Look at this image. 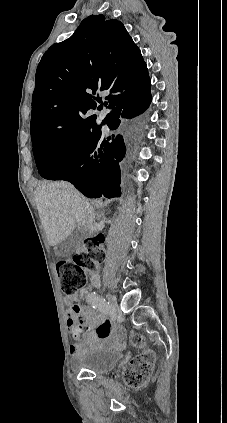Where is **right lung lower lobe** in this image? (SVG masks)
<instances>
[{
    "instance_id": "right-lung-lower-lobe-1",
    "label": "right lung lower lobe",
    "mask_w": 227,
    "mask_h": 423,
    "mask_svg": "<svg viewBox=\"0 0 227 423\" xmlns=\"http://www.w3.org/2000/svg\"><path fill=\"white\" fill-rule=\"evenodd\" d=\"M150 92L144 95L128 96L112 104L110 113L103 123L111 130L127 124L125 119H132L144 112L151 101ZM128 150L131 138H125ZM122 135L103 137L101 131L94 134V143L81 158L76 170L63 180L71 182L81 193L89 198L120 196V165L126 153Z\"/></svg>"
}]
</instances>
